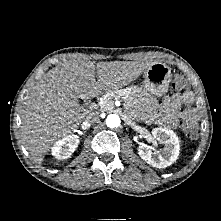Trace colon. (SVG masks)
<instances>
[{"mask_svg": "<svg viewBox=\"0 0 221 221\" xmlns=\"http://www.w3.org/2000/svg\"><path fill=\"white\" fill-rule=\"evenodd\" d=\"M172 86L174 89L185 90L187 84L181 74H176L174 76ZM183 130L189 138L195 139L198 134L196 120L194 118L183 119Z\"/></svg>", "mask_w": 221, "mask_h": 221, "instance_id": "5ec220e1", "label": "colon"}]
</instances>
